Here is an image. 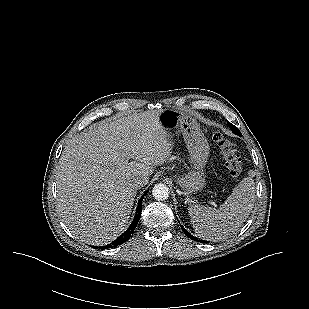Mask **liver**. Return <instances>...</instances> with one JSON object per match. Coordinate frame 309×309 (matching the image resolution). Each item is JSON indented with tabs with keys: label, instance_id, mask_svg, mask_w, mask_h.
<instances>
[{
	"label": "liver",
	"instance_id": "liver-1",
	"mask_svg": "<svg viewBox=\"0 0 309 309\" xmlns=\"http://www.w3.org/2000/svg\"><path fill=\"white\" fill-rule=\"evenodd\" d=\"M159 112L133 114L89 127L62 152L56 171L57 208L74 236L92 245L114 241L126 228L138 188L172 153Z\"/></svg>",
	"mask_w": 309,
	"mask_h": 309
}]
</instances>
